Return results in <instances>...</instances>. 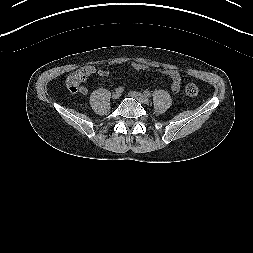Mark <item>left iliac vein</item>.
<instances>
[{
  "label": "left iliac vein",
  "mask_w": 253,
  "mask_h": 253,
  "mask_svg": "<svg viewBox=\"0 0 253 253\" xmlns=\"http://www.w3.org/2000/svg\"><path fill=\"white\" fill-rule=\"evenodd\" d=\"M130 95L135 98L136 100H138L139 102L142 103H147L148 102V98L146 96H144L142 93L136 92V91H131Z\"/></svg>",
  "instance_id": "left-iliac-vein-1"
}]
</instances>
